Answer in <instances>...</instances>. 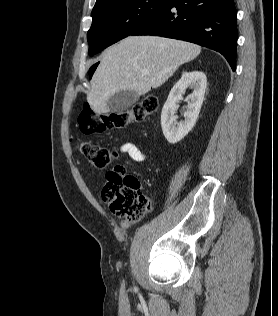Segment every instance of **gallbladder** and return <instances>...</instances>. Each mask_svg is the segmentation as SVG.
I'll return each mask as SVG.
<instances>
[{"instance_id": "gallbladder-1", "label": "gallbladder", "mask_w": 278, "mask_h": 316, "mask_svg": "<svg viewBox=\"0 0 278 316\" xmlns=\"http://www.w3.org/2000/svg\"><path fill=\"white\" fill-rule=\"evenodd\" d=\"M140 95L132 90L116 92L107 101L111 113H122L137 103Z\"/></svg>"}]
</instances>
